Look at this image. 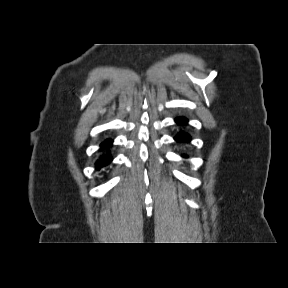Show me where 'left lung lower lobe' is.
Returning a JSON list of instances; mask_svg holds the SVG:
<instances>
[{
    "instance_id": "0a47b994",
    "label": "left lung lower lobe",
    "mask_w": 288,
    "mask_h": 288,
    "mask_svg": "<svg viewBox=\"0 0 288 288\" xmlns=\"http://www.w3.org/2000/svg\"><path fill=\"white\" fill-rule=\"evenodd\" d=\"M175 121L178 123V124H186L187 123V119L184 118V117H179V118H176ZM175 140L178 141V142H190L191 141V137L189 134L187 133H179L176 137H175ZM186 157V156H184Z\"/></svg>"
}]
</instances>
